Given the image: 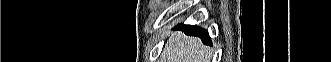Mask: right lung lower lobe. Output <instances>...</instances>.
I'll use <instances>...</instances> for the list:
<instances>
[{"instance_id": "1", "label": "right lung lower lobe", "mask_w": 331, "mask_h": 62, "mask_svg": "<svg viewBox=\"0 0 331 62\" xmlns=\"http://www.w3.org/2000/svg\"><path fill=\"white\" fill-rule=\"evenodd\" d=\"M184 27V32L187 35L198 36L202 39L204 44H210V37L208 32L200 27L192 26V25H182Z\"/></svg>"}]
</instances>
